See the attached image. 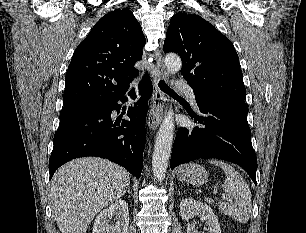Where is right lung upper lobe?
<instances>
[{
    "label": "right lung upper lobe",
    "instance_id": "cb5924a9",
    "mask_svg": "<svg viewBox=\"0 0 306 233\" xmlns=\"http://www.w3.org/2000/svg\"><path fill=\"white\" fill-rule=\"evenodd\" d=\"M145 37L128 9L104 15L76 48L65 77L64 106L109 104L124 96Z\"/></svg>",
    "mask_w": 306,
    "mask_h": 233
}]
</instances>
